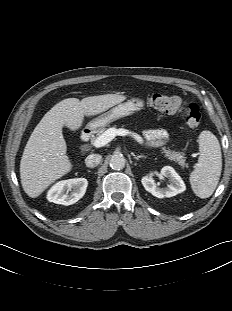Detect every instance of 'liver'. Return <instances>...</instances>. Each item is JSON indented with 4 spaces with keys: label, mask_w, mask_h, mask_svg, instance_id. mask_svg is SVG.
Segmentation results:
<instances>
[{
    "label": "liver",
    "mask_w": 232,
    "mask_h": 311,
    "mask_svg": "<svg viewBox=\"0 0 232 311\" xmlns=\"http://www.w3.org/2000/svg\"><path fill=\"white\" fill-rule=\"evenodd\" d=\"M123 95L106 94L83 98H67L54 105L33 130L20 161L23 190L38 197L50 184L71 171L63 126L79 129L84 116L100 114L123 102Z\"/></svg>",
    "instance_id": "1"
}]
</instances>
